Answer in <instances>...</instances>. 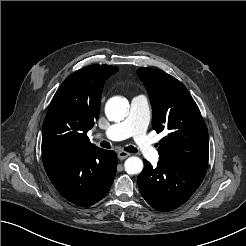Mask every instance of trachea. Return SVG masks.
<instances>
[{
    "instance_id": "trachea-1",
    "label": "trachea",
    "mask_w": 246,
    "mask_h": 246,
    "mask_svg": "<svg viewBox=\"0 0 246 246\" xmlns=\"http://www.w3.org/2000/svg\"><path fill=\"white\" fill-rule=\"evenodd\" d=\"M100 145H101V147H103V148H107V149H110V148H111L110 143H108L107 141H102V142L100 143ZM124 150L127 151V152H130V153H137V151H138V150H137L135 147H133V146L125 147Z\"/></svg>"
}]
</instances>
